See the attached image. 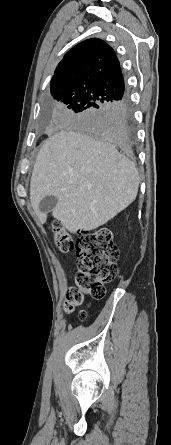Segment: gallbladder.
<instances>
[{
	"label": "gallbladder",
	"instance_id": "gallbladder-1",
	"mask_svg": "<svg viewBox=\"0 0 171 445\" xmlns=\"http://www.w3.org/2000/svg\"><path fill=\"white\" fill-rule=\"evenodd\" d=\"M57 198L53 195L44 197L39 203V211L41 213H48L53 210L57 204Z\"/></svg>",
	"mask_w": 171,
	"mask_h": 445
}]
</instances>
